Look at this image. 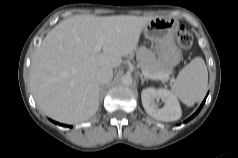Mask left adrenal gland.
Masks as SVG:
<instances>
[{
    "label": "left adrenal gland",
    "instance_id": "a2214340",
    "mask_svg": "<svg viewBox=\"0 0 238 158\" xmlns=\"http://www.w3.org/2000/svg\"><path fill=\"white\" fill-rule=\"evenodd\" d=\"M139 77H140V79H141V85H143L145 81H148V79L145 78V77H143L142 74H139Z\"/></svg>",
    "mask_w": 238,
    "mask_h": 158
}]
</instances>
